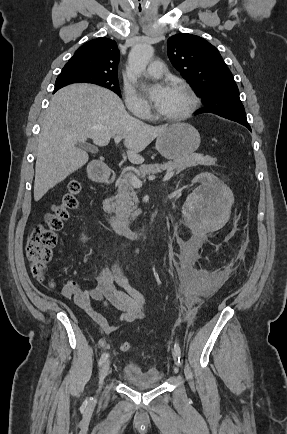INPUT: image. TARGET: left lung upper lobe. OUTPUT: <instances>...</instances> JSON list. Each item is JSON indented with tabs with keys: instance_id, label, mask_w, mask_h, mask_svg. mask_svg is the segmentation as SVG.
Masks as SVG:
<instances>
[{
	"instance_id": "1",
	"label": "left lung upper lobe",
	"mask_w": 287,
	"mask_h": 434,
	"mask_svg": "<svg viewBox=\"0 0 287 434\" xmlns=\"http://www.w3.org/2000/svg\"><path fill=\"white\" fill-rule=\"evenodd\" d=\"M167 44L173 66L203 98V109L245 112L232 74L213 45L199 36L184 33L171 36Z\"/></svg>"
}]
</instances>
